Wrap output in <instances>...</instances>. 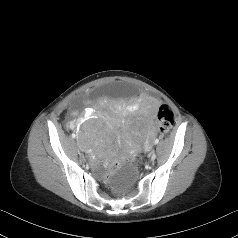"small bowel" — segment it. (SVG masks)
Returning <instances> with one entry per match:
<instances>
[{"label":"small bowel","mask_w":238,"mask_h":238,"mask_svg":"<svg viewBox=\"0 0 238 238\" xmlns=\"http://www.w3.org/2000/svg\"><path fill=\"white\" fill-rule=\"evenodd\" d=\"M158 105L157 103L153 102V101H147L145 102L144 104V110H145V113L148 117V119L150 120L152 118V116L156 113V111L158 110ZM80 120H78L76 123H71L70 124V129H74L77 125V123H79ZM148 133L151 134L152 133V126L151 124H149V127H148Z\"/></svg>","instance_id":"obj_1"}]
</instances>
